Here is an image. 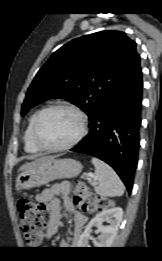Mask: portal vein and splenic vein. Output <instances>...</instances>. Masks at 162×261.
<instances>
[{"mask_svg":"<svg viewBox=\"0 0 162 261\" xmlns=\"http://www.w3.org/2000/svg\"><path fill=\"white\" fill-rule=\"evenodd\" d=\"M86 177H88V180H89L90 182H93V184H97V182H96L95 180L92 181L93 174L87 173V174H86Z\"/></svg>","mask_w":162,"mask_h":261,"instance_id":"1","label":"portal vein and splenic vein"}]
</instances>
